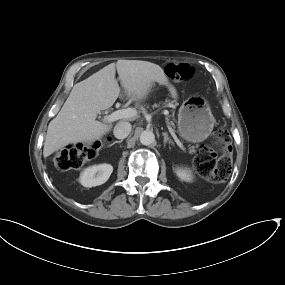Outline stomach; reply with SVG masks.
Listing matches in <instances>:
<instances>
[{"mask_svg":"<svg viewBox=\"0 0 285 285\" xmlns=\"http://www.w3.org/2000/svg\"><path fill=\"white\" fill-rule=\"evenodd\" d=\"M214 117L209 105L199 97L185 100L178 113V131L189 142H202L212 132Z\"/></svg>","mask_w":285,"mask_h":285,"instance_id":"0dacf381","label":"stomach"}]
</instances>
